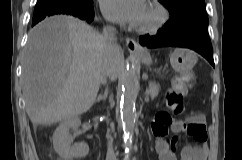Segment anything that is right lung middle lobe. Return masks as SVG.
Returning a JSON list of instances; mask_svg holds the SVG:
<instances>
[{
	"instance_id": "obj_1",
	"label": "right lung middle lobe",
	"mask_w": 242,
	"mask_h": 160,
	"mask_svg": "<svg viewBox=\"0 0 242 160\" xmlns=\"http://www.w3.org/2000/svg\"><path fill=\"white\" fill-rule=\"evenodd\" d=\"M91 9H93L92 0H37L34 16L48 13L53 10L87 11Z\"/></svg>"
}]
</instances>
